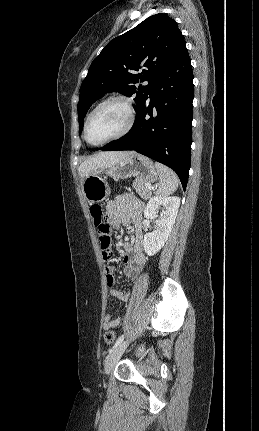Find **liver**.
Returning <instances> with one entry per match:
<instances>
[{"mask_svg":"<svg viewBox=\"0 0 259 431\" xmlns=\"http://www.w3.org/2000/svg\"><path fill=\"white\" fill-rule=\"evenodd\" d=\"M132 153L134 152L107 151V152H100L92 157L87 158L85 161H83L80 164L78 168L81 182L83 183L84 178L87 177L89 174L105 169L107 167H110L118 163L128 155H131Z\"/></svg>","mask_w":259,"mask_h":431,"instance_id":"obj_1","label":"liver"}]
</instances>
